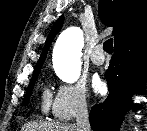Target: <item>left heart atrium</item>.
<instances>
[{
    "label": "left heart atrium",
    "mask_w": 147,
    "mask_h": 131,
    "mask_svg": "<svg viewBox=\"0 0 147 131\" xmlns=\"http://www.w3.org/2000/svg\"><path fill=\"white\" fill-rule=\"evenodd\" d=\"M103 82L98 78L94 77L92 80V88L96 93H99L103 90Z\"/></svg>",
    "instance_id": "left-heart-atrium-1"
}]
</instances>
